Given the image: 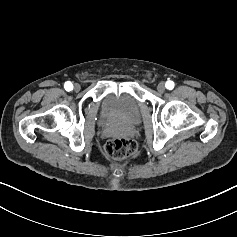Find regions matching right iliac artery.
Here are the masks:
<instances>
[{
    "label": "right iliac artery",
    "mask_w": 237,
    "mask_h": 237,
    "mask_svg": "<svg viewBox=\"0 0 237 237\" xmlns=\"http://www.w3.org/2000/svg\"><path fill=\"white\" fill-rule=\"evenodd\" d=\"M64 88L66 91H71L73 90V84L70 81L65 82Z\"/></svg>",
    "instance_id": "1"
}]
</instances>
